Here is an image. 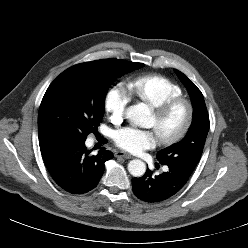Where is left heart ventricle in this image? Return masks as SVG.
<instances>
[{
    "label": "left heart ventricle",
    "mask_w": 248,
    "mask_h": 248,
    "mask_svg": "<svg viewBox=\"0 0 248 248\" xmlns=\"http://www.w3.org/2000/svg\"><path fill=\"white\" fill-rule=\"evenodd\" d=\"M185 118L186 109L183 105H179L162 120H157L153 114L151 127L155 130L158 138L168 137L175 134L183 126Z\"/></svg>",
    "instance_id": "obj_1"
}]
</instances>
